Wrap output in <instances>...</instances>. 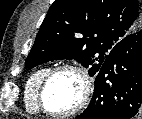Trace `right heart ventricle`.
I'll use <instances>...</instances> for the list:
<instances>
[{
	"label": "right heart ventricle",
	"mask_w": 142,
	"mask_h": 119,
	"mask_svg": "<svg viewBox=\"0 0 142 119\" xmlns=\"http://www.w3.org/2000/svg\"><path fill=\"white\" fill-rule=\"evenodd\" d=\"M50 70L49 67H42L33 72L27 79L24 86V103L28 112L37 114L40 112L37 105V90L43 77Z\"/></svg>",
	"instance_id": "right-heart-ventricle-1"
}]
</instances>
